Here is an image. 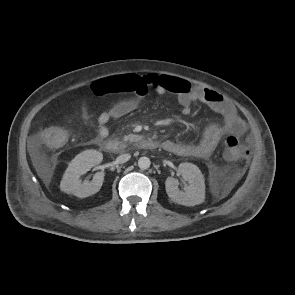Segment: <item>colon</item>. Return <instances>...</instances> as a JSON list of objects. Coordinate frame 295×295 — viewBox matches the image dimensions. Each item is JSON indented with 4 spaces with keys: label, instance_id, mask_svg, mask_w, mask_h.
Instances as JSON below:
<instances>
[{
    "label": "colon",
    "instance_id": "5ec220e1",
    "mask_svg": "<svg viewBox=\"0 0 295 295\" xmlns=\"http://www.w3.org/2000/svg\"><path fill=\"white\" fill-rule=\"evenodd\" d=\"M41 138L48 147L59 148L65 144L67 134L62 129L51 127L41 133ZM224 154L227 159L238 162L239 171L246 167L250 157V151L235 136H231L226 140Z\"/></svg>",
    "mask_w": 295,
    "mask_h": 295
}]
</instances>
